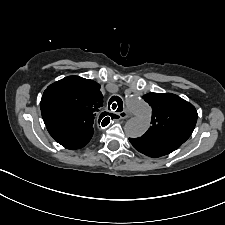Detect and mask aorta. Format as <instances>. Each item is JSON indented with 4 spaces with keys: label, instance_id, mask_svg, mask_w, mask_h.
Masks as SVG:
<instances>
[{
    "label": "aorta",
    "instance_id": "762f6f07",
    "mask_svg": "<svg viewBox=\"0 0 225 225\" xmlns=\"http://www.w3.org/2000/svg\"><path fill=\"white\" fill-rule=\"evenodd\" d=\"M126 105L135 116L126 122L124 131L128 137H141L150 126V107L145 101L138 97L128 98L126 100Z\"/></svg>",
    "mask_w": 225,
    "mask_h": 225
}]
</instances>
